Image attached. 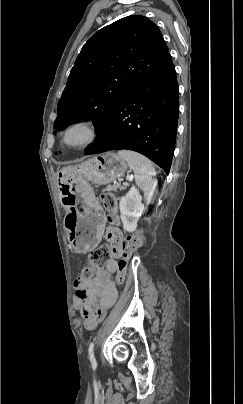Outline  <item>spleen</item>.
I'll return each instance as SVG.
<instances>
[{
  "mask_svg": "<svg viewBox=\"0 0 243 404\" xmlns=\"http://www.w3.org/2000/svg\"><path fill=\"white\" fill-rule=\"evenodd\" d=\"M118 154L127 162L130 170H133L136 184L144 192L147 204H150L157 186V180L154 178L156 172L152 162L145 156L129 150H121Z\"/></svg>",
  "mask_w": 243,
  "mask_h": 404,
  "instance_id": "spleen-1",
  "label": "spleen"
}]
</instances>
